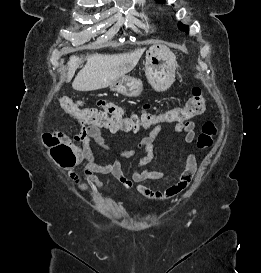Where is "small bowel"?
I'll return each instance as SVG.
<instances>
[{
    "mask_svg": "<svg viewBox=\"0 0 261 273\" xmlns=\"http://www.w3.org/2000/svg\"><path fill=\"white\" fill-rule=\"evenodd\" d=\"M97 106L109 115L125 117L124 110L113 103L98 101ZM144 109H149V105L144 106ZM72 118L81 125L79 132L73 136V139L68 140L76 156V160L73 166H77L83 162H86L84 171L85 178L92 182L97 188L104 187V183L98 178V175L111 174L113 178L127 190H135L139 194L151 199H170L184 190L181 189L176 193H172L171 189L169 188L164 192H160L141 184L147 180H161L166 177L172 170L170 169L169 171H158L149 167V163L154 157L153 141L161 135L160 125H155L150 131L149 135L142 138L136 147L131 149H124L118 152L120 158L133 157L139 150H143L145 152L144 156L139 159L137 167L133 170L131 178H127L123 172L120 159H116L112 162L102 163L99 162L94 155L91 149L92 141H94L102 150L110 153L113 152V149L106 143L100 128L94 125H87L74 116H72ZM109 131L117 132L112 130ZM174 132H184L185 142L187 144H192L195 139V124L192 121H179L174 126ZM196 169L197 163L195 155L189 154L186 158L185 168L180 174L179 181L186 179L188 186L194 177ZM70 178L75 184H77L80 190L87 191L89 189L86 184L81 183L79 176L72 171L70 172Z\"/></svg>",
    "mask_w": 261,
    "mask_h": 273,
    "instance_id": "c3829d8e",
    "label": "small bowel"
}]
</instances>
